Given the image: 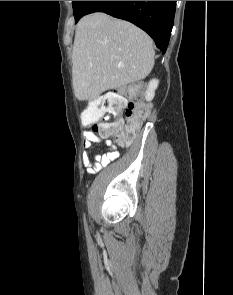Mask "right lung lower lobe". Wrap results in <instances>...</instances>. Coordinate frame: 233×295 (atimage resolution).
Listing matches in <instances>:
<instances>
[{"mask_svg":"<svg viewBox=\"0 0 233 295\" xmlns=\"http://www.w3.org/2000/svg\"><path fill=\"white\" fill-rule=\"evenodd\" d=\"M176 1H88L82 16L105 12L146 31L156 46L166 52L174 22Z\"/></svg>","mask_w":233,"mask_h":295,"instance_id":"obj_1","label":"right lung lower lobe"}]
</instances>
